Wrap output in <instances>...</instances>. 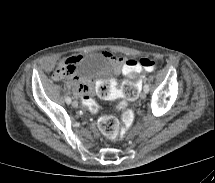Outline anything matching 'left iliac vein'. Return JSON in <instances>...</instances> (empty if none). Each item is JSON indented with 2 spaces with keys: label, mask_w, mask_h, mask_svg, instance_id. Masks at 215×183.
Masks as SVG:
<instances>
[{
  "label": "left iliac vein",
  "mask_w": 215,
  "mask_h": 183,
  "mask_svg": "<svg viewBox=\"0 0 215 183\" xmlns=\"http://www.w3.org/2000/svg\"><path fill=\"white\" fill-rule=\"evenodd\" d=\"M146 97V92L145 91H142L141 93H140V98L141 99H144Z\"/></svg>",
  "instance_id": "left-iliac-vein-1"
}]
</instances>
